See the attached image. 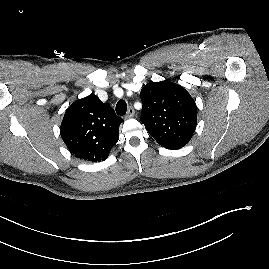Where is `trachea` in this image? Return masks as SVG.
<instances>
[{
	"label": "trachea",
	"instance_id": "trachea-1",
	"mask_svg": "<svg viewBox=\"0 0 269 269\" xmlns=\"http://www.w3.org/2000/svg\"><path fill=\"white\" fill-rule=\"evenodd\" d=\"M127 111V104L124 100H120L116 104V113L120 116H123L126 114Z\"/></svg>",
	"mask_w": 269,
	"mask_h": 269
}]
</instances>
